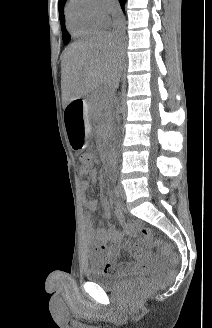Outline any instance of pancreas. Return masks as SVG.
<instances>
[{
  "mask_svg": "<svg viewBox=\"0 0 212 328\" xmlns=\"http://www.w3.org/2000/svg\"><path fill=\"white\" fill-rule=\"evenodd\" d=\"M92 107L96 113L106 120L109 116L110 101L109 98L102 92H96L93 95Z\"/></svg>",
  "mask_w": 212,
  "mask_h": 328,
  "instance_id": "cf45deb5",
  "label": "pancreas"
}]
</instances>
